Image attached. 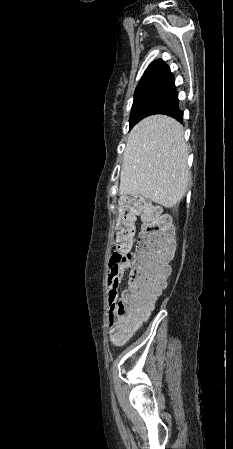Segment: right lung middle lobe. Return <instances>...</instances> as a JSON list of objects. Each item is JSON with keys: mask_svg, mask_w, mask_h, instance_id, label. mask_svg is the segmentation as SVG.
Instances as JSON below:
<instances>
[{"mask_svg": "<svg viewBox=\"0 0 233 449\" xmlns=\"http://www.w3.org/2000/svg\"><path fill=\"white\" fill-rule=\"evenodd\" d=\"M178 102L176 90H151L135 94L129 119L130 129L143 118L157 114Z\"/></svg>", "mask_w": 233, "mask_h": 449, "instance_id": "obj_1", "label": "right lung middle lobe"}]
</instances>
